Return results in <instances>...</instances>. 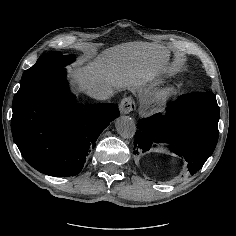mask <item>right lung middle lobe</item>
Wrapping results in <instances>:
<instances>
[{"instance_id": "dd1d6c3e", "label": "right lung middle lobe", "mask_w": 236, "mask_h": 236, "mask_svg": "<svg viewBox=\"0 0 236 236\" xmlns=\"http://www.w3.org/2000/svg\"><path fill=\"white\" fill-rule=\"evenodd\" d=\"M74 59V55L63 56L61 52L46 53L40 56L37 62L23 73L21 83L41 73L66 66Z\"/></svg>"}]
</instances>
